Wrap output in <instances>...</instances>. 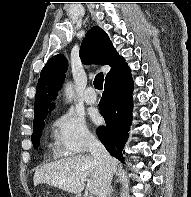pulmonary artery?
Segmentation results:
<instances>
[{
	"instance_id": "1",
	"label": "pulmonary artery",
	"mask_w": 191,
	"mask_h": 197,
	"mask_svg": "<svg viewBox=\"0 0 191 197\" xmlns=\"http://www.w3.org/2000/svg\"><path fill=\"white\" fill-rule=\"evenodd\" d=\"M84 101L87 104H95L97 101V96L95 94V91L92 87H88L84 93Z\"/></svg>"
}]
</instances>
